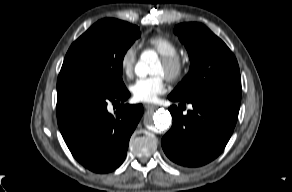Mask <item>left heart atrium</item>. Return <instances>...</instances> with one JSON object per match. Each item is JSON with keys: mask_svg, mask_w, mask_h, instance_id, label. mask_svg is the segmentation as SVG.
I'll return each mask as SVG.
<instances>
[{"mask_svg": "<svg viewBox=\"0 0 292 192\" xmlns=\"http://www.w3.org/2000/svg\"><path fill=\"white\" fill-rule=\"evenodd\" d=\"M165 89V80L161 74L140 78L130 86L132 96L138 102H153Z\"/></svg>", "mask_w": 292, "mask_h": 192, "instance_id": "obj_1", "label": "left heart atrium"}]
</instances>
